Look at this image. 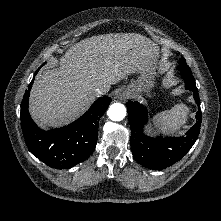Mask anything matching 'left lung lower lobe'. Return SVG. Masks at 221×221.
I'll use <instances>...</instances> for the list:
<instances>
[{
    "instance_id": "left-lung-lower-lobe-1",
    "label": "left lung lower lobe",
    "mask_w": 221,
    "mask_h": 221,
    "mask_svg": "<svg viewBox=\"0 0 221 221\" xmlns=\"http://www.w3.org/2000/svg\"><path fill=\"white\" fill-rule=\"evenodd\" d=\"M186 89L194 93V99L200 108L198 89L191 72H181ZM128 118L131 128L130 144L134 158L147 168L161 170L179 161L193 146L198 138L201 126V110L196 114V124L182 137L152 138L143 133L148 121L147 109L138 102H127Z\"/></svg>"
}]
</instances>
